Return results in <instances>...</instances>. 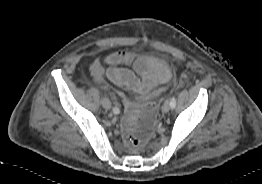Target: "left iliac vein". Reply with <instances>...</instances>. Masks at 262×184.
<instances>
[{
    "label": "left iliac vein",
    "instance_id": "4c4485c4",
    "mask_svg": "<svg viewBox=\"0 0 262 184\" xmlns=\"http://www.w3.org/2000/svg\"><path fill=\"white\" fill-rule=\"evenodd\" d=\"M162 110H163V112H165V113L169 112V110H170V103H169L168 100H166V101L164 102L163 107H162Z\"/></svg>",
    "mask_w": 262,
    "mask_h": 184
}]
</instances>
